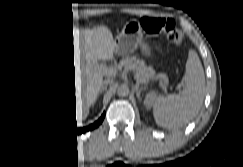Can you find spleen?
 Returning a JSON list of instances; mask_svg holds the SVG:
<instances>
[{
  "mask_svg": "<svg viewBox=\"0 0 243 167\" xmlns=\"http://www.w3.org/2000/svg\"><path fill=\"white\" fill-rule=\"evenodd\" d=\"M184 80L185 87L181 94L159 96L155 99L153 115L159 126L164 128L183 126L201 109L205 95V76L195 51L189 52Z\"/></svg>",
  "mask_w": 243,
  "mask_h": 167,
  "instance_id": "1",
  "label": "spleen"
}]
</instances>
